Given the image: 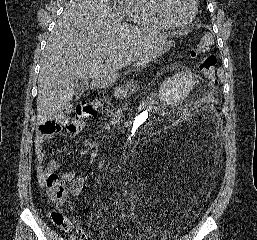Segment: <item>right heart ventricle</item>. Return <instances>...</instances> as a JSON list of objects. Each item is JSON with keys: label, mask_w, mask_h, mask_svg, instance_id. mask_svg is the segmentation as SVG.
<instances>
[{"label": "right heart ventricle", "mask_w": 257, "mask_h": 240, "mask_svg": "<svg viewBox=\"0 0 257 240\" xmlns=\"http://www.w3.org/2000/svg\"><path fill=\"white\" fill-rule=\"evenodd\" d=\"M119 11L138 26L159 31L169 29L157 16L153 0H120Z\"/></svg>", "instance_id": "obj_1"}]
</instances>
